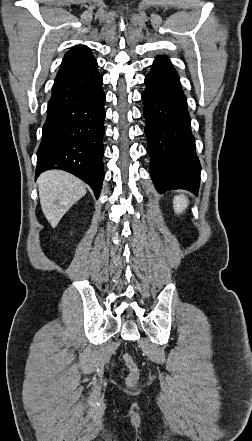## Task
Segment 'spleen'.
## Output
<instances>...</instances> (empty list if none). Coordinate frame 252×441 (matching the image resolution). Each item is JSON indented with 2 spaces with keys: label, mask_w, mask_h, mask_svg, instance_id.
<instances>
[{
  "label": "spleen",
  "mask_w": 252,
  "mask_h": 441,
  "mask_svg": "<svg viewBox=\"0 0 252 441\" xmlns=\"http://www.w3.org/2000/svg\"><path fill=\"white\" fill-rule=\"evenodd\" d=\"M173 204L175 213L181 214L187 208L188 200L184 195H177L174 197Z\"/></svg>",
  "instance_id": "obj_1"
}]
</instances>
